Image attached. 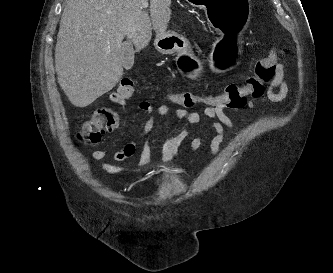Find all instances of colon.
Listing matches in <instances>:
<instances>
[{
	"label": "colon",
	"instance_id": "obj_1",
	"mask_svg": "<svg viewBox=\"0 0 333 273\" xmlns=\"http://www.w3.org/2000/svg\"><path fill=\"white\" fill-rule=\"evenodd\" d=\"M278 63V53L270 50L268 54L259 58L255 64L254 72L243 84H230L220 94H203L191 91H182L170 94L169 101L186 109L200 106L202 108H242L248 98H258L264 94L265 85L269 83L275 74ZM135 91L134 81L125 78L120 83L117 92L130 98ZM118 121L115 112L99 108L93 111L89 118L82 123L78 131V137L83 142L97 143L101 140L105 131L112 129Z\"/></svg>",
	"mask_w": 333,
	"mask_h": 273
}]
</instances>
